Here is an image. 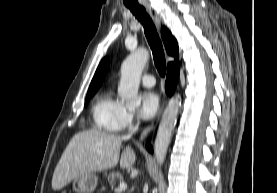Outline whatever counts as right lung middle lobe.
<instances>
[{
    "label": "right lung middle lobe",
    "instance_id": "1",
    "mask_svg": "<svg viewBox=\"0 0 277 193\" xmlns=\"http://www.w3.org/2000/svg\"><path fill=\"white\" fill-rule=\"evenodd\" d=\"M94 95V93L87 94L86 100H85V106L88 104L90 98Z\"/></svg>",
    "mask_w": 277,
    "mask_h": 193
}]
</instances>
